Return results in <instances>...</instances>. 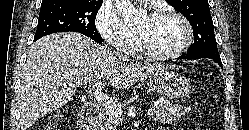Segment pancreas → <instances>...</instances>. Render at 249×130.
Here are the masks:
<instances>
[{
	"mask_svg": "<svg viewBox=\"0 0 249 130\" xmlns=\"http://www.w3.org/2000/svg\"><path fill=\"white\" fill-rule=\"evenodd\" d=\"M156 108V116L157 119L160 120L162 123H171L172 121L176 120V118H180L184 116L187 112L191 111L190 107H185L179 104H173L169 100L165 98H159L158 104L154 106ZM105 123L101 127L102 130H114L112 125L118 126L120 124L121 119L109 112H105L104 116Z\"/></svg>",
	"mask_w": 249,
	"mask_h": 130,
	"instance_id": "1",
	"label": "pancreas"
}]
</instances>
